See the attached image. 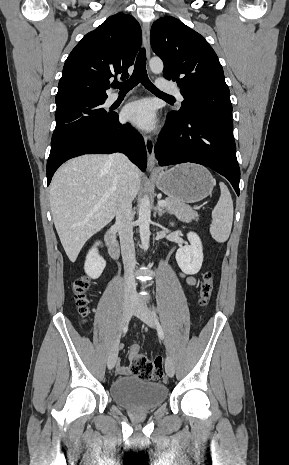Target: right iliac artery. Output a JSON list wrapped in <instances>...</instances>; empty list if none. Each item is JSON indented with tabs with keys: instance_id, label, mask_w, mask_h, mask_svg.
Wrapping results in <instances>:
<instances>
[{
	"instance_id": "82829eb1",
	"label": "right iliac artery",
	"mask_w": 289,
	"mask_h": 465,
	"mask_svg": "<svg viewBox=\"0 0 289 465\" xmlns=\"http://www.w3.org/2000/svg\"><path fill=\"white\" fill-rule=\"evenodd\" d=\"M123 332H126L127 331V325L123 327Z\"/></svg>"
}]
</instances>
